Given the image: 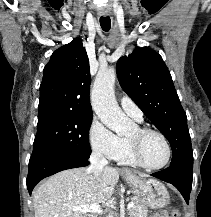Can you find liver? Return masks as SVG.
Returning a JSON list of instances; mask_svg holds the SVG:
<instances>
[{"label":"liver","instance_id":"obj_1","mask_svg":"<svg viewBox=\"0 0 211 217\" xmlns=\"http://www.w3.org/2000/svg\"><path fill=\"white\" fill-rule=\"evenodd\" d=\"M118 179L119 172L112 167L103 169L99 182L89 168L59 172L33 191L35 217H87L86 213L76 212L73 207L106 206Z\"/></svg>","mask_w":211,"mask_h":217}]
</instances>
